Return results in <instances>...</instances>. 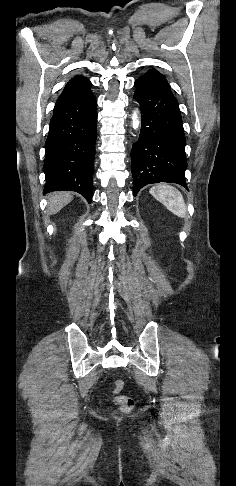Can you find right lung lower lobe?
I'll return each instance as SVG.
<instances>
[{"label": "right lung lower lobe", "instance_id": "obj_1", "mask_svg": "<svg viewBox=\"0 0 236 486\" xmlns=\"http://www.w3.org/2000/svg\"><path fill=\"white\" fill-rule=\"evenodd\" d=\"M96 97L55 104L45 143L43 193L70 190L92 200V174L97 134Z\"/></svg>", "mask_w": 236, "mask_h": 486}]
</instances>
